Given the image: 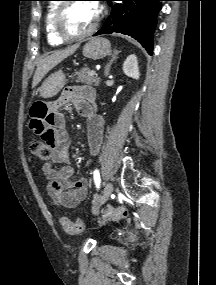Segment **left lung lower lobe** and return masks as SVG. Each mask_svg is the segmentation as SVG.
I'll return each mask as SVG.
<instances>
[{
    "instance_id": "obj_1",
    "label": "left lung lower lobe",
    "mask_w": 216,
    "mask_h": 285,
    "mask_svg": "<svg viewBox=\"0 0 216 285\" xmlns=\"http://www.w3.org/2000/svg\"><path fill=\"white\" fill-rule=\"evenodd\" d=\"M122 1L111 6L110 16L103 27L94 35L122 33L135 38L151 55L153 33L157 23V14L161 1L165 0H106Z\"/></svg>"
}]
</instances>
